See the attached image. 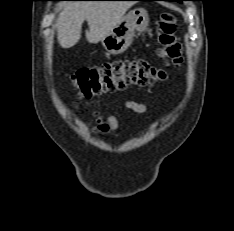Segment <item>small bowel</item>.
I'll return each instance as SVG.
<instances>
[{"mask_svg":"<svg viewBox=\"0 0 234 231\" xmlns=\"http://www.w3.org/2000/svg\"><path fill=\"white\" fill-rule=\"evenodd\" d=\"M124 109L130 110L137 114L146 113L148 107L138 101L129 100L125 102ZM96 124L93 126V129L96 133L103 135H112L118 128V113L110 115L108 117H103L98 113H95Z\"/></svg>","mask_w":234,"mask_h":231,"instance_id":"1","label":"small bowel"}]
</instances>
